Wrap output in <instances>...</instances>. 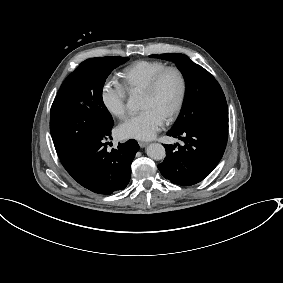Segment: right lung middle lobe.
Masks as SVG:
<instances>
[{
    "instance_id": "1",
    "label": "right lung middle lobe",
    "mask_w": 283,
    "mask_h": 283,
    "mask_svg": "<svg viewBox=\"0 0 283 283\" xmlns=\"http://www.w3.org/2000/svg\"><path fill=\"white\" fill-rule=\"evenodd\" d=\"M126 61L125 57L90 58L65 79L50 112V132L59 158L112 128L102 90L111 71Z\"/></svg>"
}]
</instances>
